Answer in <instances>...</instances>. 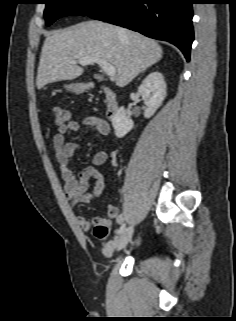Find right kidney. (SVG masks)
Wrapping results in <instances>:
<instances>
[{"instance_id": "obj_1", "label": "right kidney", "mask_w": 236, "mask_h": 321, "mask_svg": "<svg viewBox=\"0 0 236 321\" xmlns=\"http://www.w3.org/2000/svg\"><path fill=\"white\" fill-rule=\"evenodd\" d=\"M138 92L147 106L144 117L150 118L162 105L166 97V83L162 73L154 71L146 76L138 88ZM115 135L124 137L134 126L124 107H120L112 120Z\"/></svg>"}]
</instances>
